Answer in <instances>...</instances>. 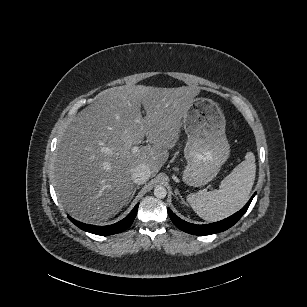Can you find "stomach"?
Here are the masks:
<instances>
[{
	"instance_id": "0dacf381",
	"label": "stomach",
	"mask_w": 307,
	"mask_h": 307,
	"mask_svg": "<svg viewBox=\"0 0 307 307\" xmlns=\"http://www.w3.org/2000/svg\"><path fill=\"white\" fill-rule=\"evenodd\" d=\"M225 125L224 114L216 102L208 98L193 99L183 117L188 139L184 148L187 165L182 179L187 185H206L229 158Z\"/></svg>"
}]
</instances>
